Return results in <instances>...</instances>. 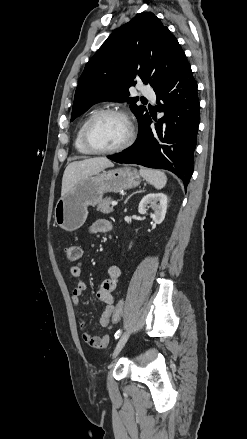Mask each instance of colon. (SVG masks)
Returning a JSON list of instances; mask_svg holds the SVG:
<instances>
[{
	"mask_svg": "<svg viewBox=\"0 0 247 439\" xmlns=\"http://www.w3.org/2000/svg\"><path fill=\"white\" fill-rule=\"evenodd\" d=\"M67 259L70 262H76L81 257V249L79 246L73 245L66 251ZM124 311V302L120 300L115 306L111 315V323L116 324L120 321Z\"/></svg>",
	"mask_w": 247,
	"mask_h": 439,
	"instance_id": "1",
	"label": "colon"
}]
</instances>
